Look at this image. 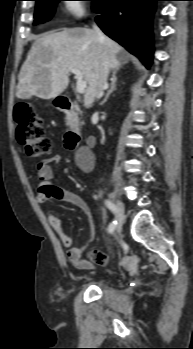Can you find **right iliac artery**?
<instances>
[{"label":"right iliac artery","mask_w":193,"mask_h":349,"mask_svg":"<svg viewBox=\"0 0 193 349\" xmlns=\"http://www.w3.org/2000/svg\"><path fill=\"white\" fill-rule=\"evenodd\" d=\"M105 205L107 206L108 209H110L113 213H115L116 207L111 201L105 200ZM116 225H117V221H113L112 223H110L108 226V232L113 233Z\"/></svg>","instance_id":"82829eb1"}]
</instances>
